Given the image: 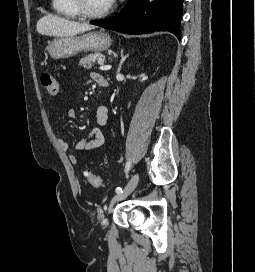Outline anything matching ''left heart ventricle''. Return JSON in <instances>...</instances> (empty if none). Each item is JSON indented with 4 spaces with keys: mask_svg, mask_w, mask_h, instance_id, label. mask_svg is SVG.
<instances>
[{
    "mask_svg": "<svg viewBox=\"0 0 255 272\" xmlns=\"http://www.w3.org/2000/svg\"><path fill=\"white\" fill-rule=\"evenodd\" d=\"M110 5L109 0H86L87 8L95 13L106 10Z\"/></svg>",
    "mask_w": 255,
    "mask_h": 272,
    "instance_id": "obj_1",
    "label": "left heart ventricle"
}]
</instances>
